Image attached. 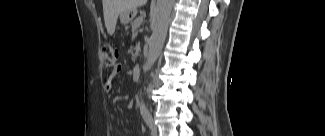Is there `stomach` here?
<instances>
[{"label":"stomach","instance_id":"1","mask_svg":"<svg viewBox=\"0 0 325 136\" xmlns=\"http://www.w3.org/2000/svg\"><path fill=\"white\" fill-rule=\"evenodd\" d=\"M136 15V10H130L126 13L120 15V20L122 23L126 24L130 21V19L134 18Z\"/></svg>","mask_w":325,"mask_h":136}]
</instances>
